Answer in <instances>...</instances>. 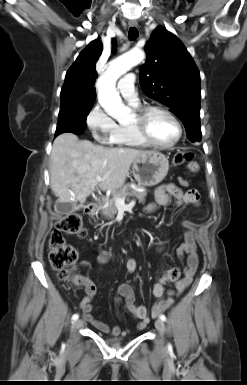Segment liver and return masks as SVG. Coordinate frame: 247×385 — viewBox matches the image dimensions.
<instances>
[{
    "label": "liver",
    "mask_w": 247,
    "mask_h": 385,
    "mask_svg": "<svg viewBox=\"0 0 247 385\" xmlns=\"http://www.w3.org/2000/svg\"><path fill=\"white\" fill-rule=\"evenodd\" d=\"M145 152L108 148L79 140L70 132L62 133L51 151V190L63 203L85 202L96 186L102 191L117 190L124 185L135 158ZM98 175L103 180L97 181Z\"/></svg>",
    "instance_id": "6515ba94"
}]
</instances>
